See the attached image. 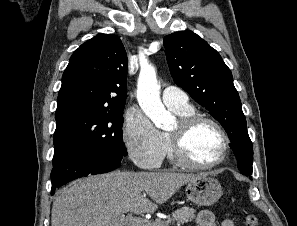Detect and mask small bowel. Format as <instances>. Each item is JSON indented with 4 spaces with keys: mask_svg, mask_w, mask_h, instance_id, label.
<instances>
[{
    "mask_svg": "<svg viewBox=\"0 0 297 226\" xmlns=\"http://www.w3.org/2000/svg\"><path fill=\"white\" fill-rule=\"evenodd\" d=\"M198 226H217L215 217L212 212L204 210L197 216ZM221 226H235L231 219H225L222 221Z\"/></svg>",
    "mask_w": 297,
    "mask_h": 226,
    "instance_id": "small-bowel-1",
    "label": "small bowel"
}]
</instances>
